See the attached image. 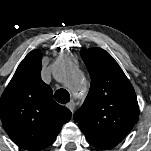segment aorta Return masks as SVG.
I'll list each match as a JSON object with an SVG mask.
<instances>
[{"label":"aorta","instance_id":"1","mask_svg":"<svg viewBox=\"0 0 151 151\" xmlns=\"http://www.w3.org/2000/svg\"><path fill=\"white\" fill-rule=\"evenodd\" d=\"M55 74L64 73V74H73L74 73V67L71 63L67 61H62L58 63L54 69Z\"/></svg>","mask_w":151,"mask_h":151}]
</instances>
